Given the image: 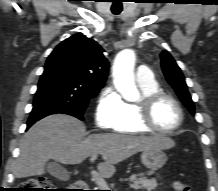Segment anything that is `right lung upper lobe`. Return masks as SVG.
<instances>
[{
	"instance_id": "cb5924a9",
	"label": "right lung upper lobe",
	"mask_w": 218,
	"mask_h": 191,
	"mask_svg": "<svg viewBox=\"0 0 218 191\" xmlns=\"http://www.w3.org/2000/svg\"><path fill=\"white\" fill-rule=\"evenodd\" d=\"M46 65L63 68L90 84L103 86L109 63L102 47L93 39L78 33L61 42L49 55Z\"/></svg>"
}]
</instances>
